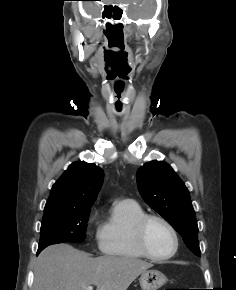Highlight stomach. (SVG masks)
<instances>
[{
  "instance_id": "obj_1",
  "label": "stomach",
  "mask_w": 236,
  "mask_h": 290,
  "mask_svg": "<svg viewBox=\"0 0 236 290\" xmlns=\"http://www.w3.org/2000/svg\"><path fill=\"white\" fill-rule=\"evenodd\" d=\"M166 282V276L158 270H146L139 278L142 290H158Z\"/></svg>"
}]
</instances>
